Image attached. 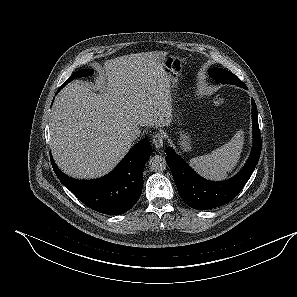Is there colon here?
<instances>
[{"label":"colon","mask_w":297,"mask_h":297,"mask_svg":"<svg viewBox=\"0 0 297 297\" xmlns=\"http://www.w3.org/2000/svg\"><path fill=\"white\" fill-rule=\"evenodd\" d=\"M210 103L214 106H221L225 103V99L222 96H215L210 99Z\"/></svg>","instance_id":"colon-1"}]
</instances>
